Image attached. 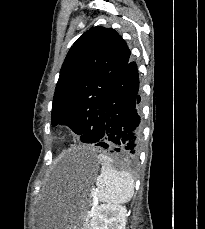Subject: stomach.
I'll use <instances>...</instances> for the list:
<instances>
[{"label": "stomach", "instance_id": "1", "mask_svg": "<svg viewBox=\"0 0 205 229\" xmlns=\"http://www.w3.org/2000/svg\"><path fill=\"white\" fill-rule=\"evenodd\" d=\"M99 159L94 152L82 151L80 167L87 183L98 170ZM91 199L87 190L81 202L68 204L60 196H47L37 201L33 213L34 229H81L86 205Z\"/></svg>", "mask_w": 205, "mask_h": 229}]
</instances>
